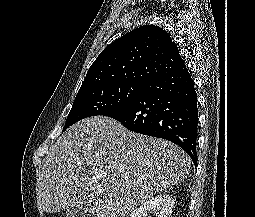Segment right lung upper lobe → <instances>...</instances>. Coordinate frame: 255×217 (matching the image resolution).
<instances>
[{
	"mask_svg": "<svg viewBox=\"0 0 255 217\" xmlns=\"http://www.w3.org/2000/svg\"><path fill=\"white\" fill-rule=\"evenodd\" d=\"M183 66L169 34L158 26L145 25L109 44L89 68L78 92L113 84L148 85Z\"/></svg>",
	"mask_w": 255,
	"mask_h": 217,
	"instance_id": "cb5924a9",
	"label": "right lung upper lobe"
}]
</instances>
